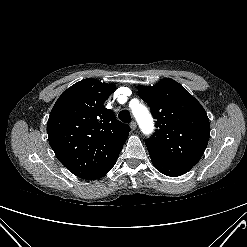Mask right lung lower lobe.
<instances>
[{"mask_svg":"<svg viewBox=\"0 0 247 247\" xmlns=\"http://www.w3.org/2000/svg\"><path fill=\"white\" fill-rule=\"evenodd\" d=\"M114 164H115V162L88 180H95V179H99V178L103 177L105 174H107L110 171V169L114 166Z\"/></svg>","mask_w":247,"mask_h":247,"instance_id":"obj_1","label":"right lung lower lobe"}]
</instances>
